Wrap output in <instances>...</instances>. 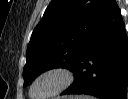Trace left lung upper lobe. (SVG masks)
Returning a JSON list of instances; mask_svg holds the SVG:
<instances>
[{"label": "left lung upper lobe", "instance_id": "obj_1", "mask_svg": "<svg viewBox=\"0 0 128 99\" xmlns=\"http://www.w3.org/2000/svg\"><path fill=\"white\" fill-rule=\"evenodd\" d=\"M109 0H52L34 29L23 69L24 86L52 68L71 69Z\"/></svg>", "mask_w": 128, "mask_h": 99}]
</instances>
